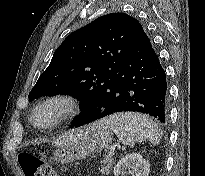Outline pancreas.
<instances>
[{
  "label": "pancreas",
  "instance_id": "pancreas-1",
  "mask_svg": "<svg viewBox=\"0 0 205 176\" xmlns=\"http://www.w3.org/2000/svg\"><path fill=\"white\" fill-rule=\"evenodd\" d=\"M114 158L110 157L109 155L105 156L104 161L101 162V168L99 171L105 176H108L110 173V169L114 164Z\"/></svg>",
  "mask_w": 205,
  "mask_h": 176
}]
</instances>
